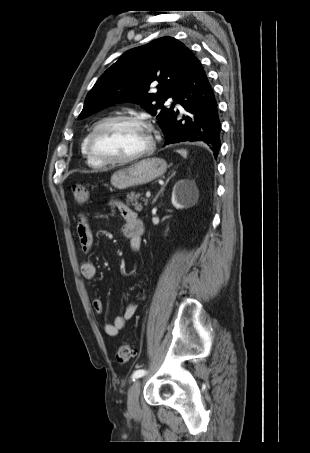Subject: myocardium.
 Instances as JSON below:
<instances>
[{"instance_id":"obj_1","label":"myocardium","mask_w":310,"mask_h":453,"mask_svg":"<svg viewBox=\"0 0 310 453\" xmlns=\"http://www.w3.org/2000/svg\"><path fill=\"white\" fill-rule=\"evenodd\" d=\"M117 122H130L137 124L146 129L149 137V144L148 146L139 151L136 154H133L128 157L124 158H111L99 153L95 147V138L98 132L103 130L104 128L117 123ZM87 146L89 149L90 154L98 161L104 164H112V165H120V164H128L135 162L143 157L150 155L155 148V140L153 136V129L152 126L142 117L136 115H116L112 117L105 118L98 122L93 129L90 131L87 141Z\"/></svg>"}]
</instances>
